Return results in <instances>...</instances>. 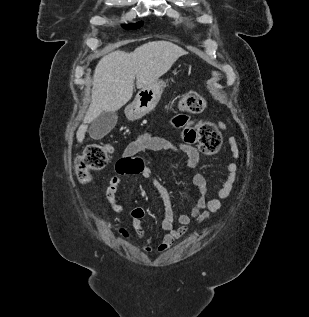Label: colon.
<instances>
[{"label":"colon","instance_id":"1","mask_svg":"<svg viewBox=\"0 0 309 317\" xmlns=\"http://www.w3.org/2000/svg\"><path fill=\"white\" fill-rule=\"evenodd\" d=\"M207 107V101L197 92L184 94L179 101L181 111L191 114L203 112ZM197 136L200 150L207 155L215 154L222 143L221 134L217 126L210 121H201L197 125ZM112 147L105 143H92L87 145L83 154L75 163L76 174L82 183L91 179V172L103 169L107 162Z\"/></svg>","mask_w":309,"mask_h":317}]
</instances>
